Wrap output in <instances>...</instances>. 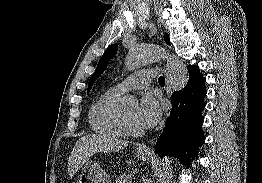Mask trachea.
<instances>
[{
    "label": "trachea",
    "instance_id": "1",
    "mask_svg": "<svg viewBox=\"0 0 262 183\" xmlns=\"http://www.w3.org/2000/svg\"><path fill=\"white\" fill-rule=\"evenodd\" d=\"M158 82H159V84L164 85L165 84V78L163 76H160L158 78Z\"/></svg>",
    "mask_w": 262,
    "mask_h": 183
}]
</instances>
